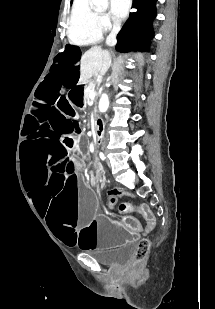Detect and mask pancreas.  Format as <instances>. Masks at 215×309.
Returning <instances> with one entry per match:
<instances>
[{
	"instance_id": "obj_1",
	"label": "pancreas",
	"mask_w": 215,
	"mask_h": 309,
	"mask_svg": "<svg viewBox=\"0 0 215 309\" xmlns=\"http://www.w3.org/2000/svg\"><path fill=\"white\" fill-rule=\"evenodd\" d=\"M96 84H99V82H97V80H89L87 86H85V88H84V100H85V102H90L89 92H90V90H94ZM95 112H96V110H95Z\"/></svg>"
}]
</instances>
